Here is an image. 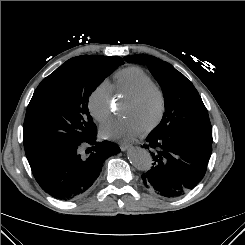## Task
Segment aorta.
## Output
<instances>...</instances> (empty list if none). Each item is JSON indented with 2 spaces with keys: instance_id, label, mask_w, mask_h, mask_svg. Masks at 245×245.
Masks as SVG:
<instances>
[{
  "instance_id": "aorta-1",
  "label": "aorta",
  "mask_w": 245,
  "mask_h": 245,
  "mask_svg": "<svg viewBox=\"0 0 245 245\" xmlns=\"http://www.w3.org/2000/svg\"><path fill=\"white\" fill-rule=\"evenodd\" d=\"M127 156L130 163L140 171H146L152 166L151 154L144 148L132 147Z\"/></svg>"
}]
</instances>
